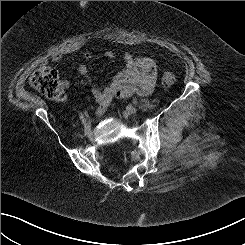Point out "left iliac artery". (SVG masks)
I'll list each match as a JSON object with an SVG mask.
<instances>
[{
    "label": "left iliac artery",
    "mask_w": 245,
    "mask_h": 245,
    "mask_svg": "<svg viewBox=\"0 0 245 245\" xmlns=\"http://www.w3.org/2000/svg\"><path fill=\"white\" fill-rule=\"evenodd\" d=\"M132 103H133V104H137V103H138L137 99H133V100H132Z\"/></svg>",
    "instance_id": "left-iliac-artery-1"
}]
</instances>
